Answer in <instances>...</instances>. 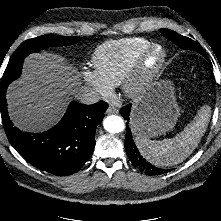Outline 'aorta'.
I'll return each instance as SVG.
<instances>
[{
	"label": "aorta",
	"mask_w": 221,
	"mask_h": 221,
	"mask_svg": "<svg viewBox=\"0 0 221 221\" xmlns=\"http://www.w3.org/2000/svg\"><path fill=\"white\" fill-rule=\"evenodd\" d=\"M103 126L106 131L112 134L120 133L125 129L123 119L117 115L107 116L103 121Z\"/></svg>",
	"instance_id": "aorta-1"
}]
</instances>
